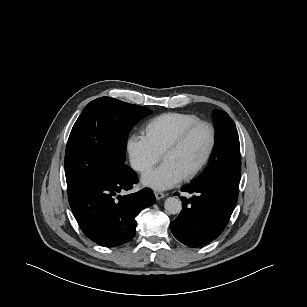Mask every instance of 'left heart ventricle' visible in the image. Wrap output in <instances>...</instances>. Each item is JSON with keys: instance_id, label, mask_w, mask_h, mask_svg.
<instances>
[{"instance_id": "1", "label": "left heart ventricle", "mask_w": 307, "mask_h": 307, "mask_svg": "<svg viewBox=\"0 0 307 307\" xmlns=\"http://www.w3.org/2000/svg\"><path fill=\"white\" fill-rule=\"evenodd\" d=\"M209 140L208 129L199 127L190 134L179 149L168 154L164 162L172 164L185 176L200 163L207 151Z\"/></svg>"}]
</instances>
